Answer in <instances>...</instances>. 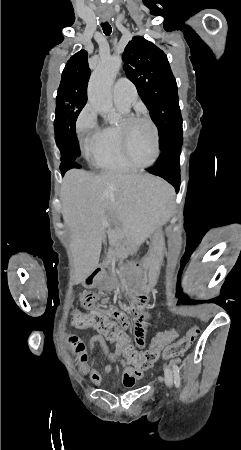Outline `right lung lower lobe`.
<instances>
[{
  "instance_id": "right-lung-lower-lobe-1",
  "label": "right lung lower lobe",
  "mask_w": 241,
  "mask_h": 450,
  "mask_svg": "<svg viewBox=\"0 0 241 450\" xmlns=\"http://www.w3.org/2000/svg\"><path fill=\"white\" fill-rule=\"evenodd\" d=\"M77 119V118H76ZM76 119H74L70 126L69 129L66 133V137H67V151L66 154L69 157H73V158H78V156L80 155V150L76 141V137H75V122ZM73 168H80L81 166L77 163V161H71L69 162Z\"/></svg>"
}]
</instances>
